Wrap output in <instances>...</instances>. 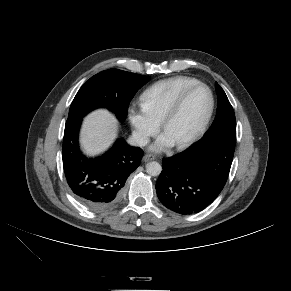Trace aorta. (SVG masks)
Masks as SVG:
<instances>
[{
	"instance_id": "aorta-1",
	"label": "aorta",
	"mask_w": 291,
	"mask_h": 291,
	"mask_svg": "<svg viewBox=\"0 0 291 291\" xmlns=\"http://www.w3.org/2000/svg\"><path fill=\"white\" fill-rule=\"evenodd\" d=\"M161 171L162 167L156 161L149 162L146 165V172L151 176H158L161 173Z\"/></svg>"
}]
</instances>
